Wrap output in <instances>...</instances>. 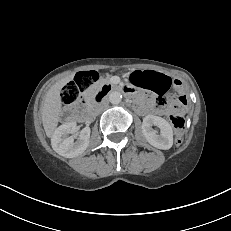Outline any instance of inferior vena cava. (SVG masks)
Instances as JSON below:
<instances>
[{"mask_svg":"<svg viewBox=\"0 0 231 231\" xmlns=\"http://www.w3.org/2000/svg\"><path fill=\"white\" fill-rule=\"evenodd\" d=\"M106 106V103L103 104L101 107H99L96 111V113H99L100 111H102V109Z\"/></svg>","mask_w":231,"mask_h":231,"instance_id":"inferior-vena-cava-1","label":"inferior vena cava"}]
</instances>
